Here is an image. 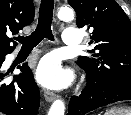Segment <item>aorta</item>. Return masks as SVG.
<instances>
[{
	"label": "aorta",
	"mask_w": 131,
	"mask_h": 115,
	"mask_svg": "<svg viewBox=\"0 0 131 115\" xmlns=\"http://www.w3.org/2000/svg\"><path fill=\"white\" fill-rule=\"evenodd\" d=\"M74 17L73 10L69 7H62L58 11V18L63 21L72 20ZM65 104L61 99H57L53 102L49 109L48 115H64Z\"/></svg>",
	"instance_id": "762f6f07"
}]
</instances>
